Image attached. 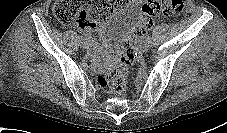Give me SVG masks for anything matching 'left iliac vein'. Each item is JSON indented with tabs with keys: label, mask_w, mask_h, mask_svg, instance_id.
Instances as JSON below:
<instances>
[{
	"label": "left iliac vein",
	"mask_w": 227,
	"mask_h": 133,
	"mask_svg": "<svg viewBox=\"0 0 227 133\" xmlns=\"http://www.w3.org/2000/svg\"><path fill=\"white\" fill-rule=\"evenodd\" d=\"M150 46H151V40L149 37H146L141 45V51L143 53H146L148 51V49L150 48Z\"/></svg>",
	"instance_id": "4c4485c4"
}]
</instances>
